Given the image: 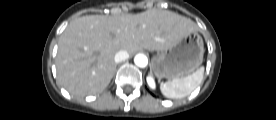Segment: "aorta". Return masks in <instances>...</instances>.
I'll use <instances>...</instances> for the list:
<instances>
[{
	"instance_id": "obj_1",
	"label": "aorta",
	"mask_w": 276,
	"mask_h": 120,
	"mask_svg": "<svg viewBox=\"0 0 276 120\" xmlns=\"http://www.w3.org/2000/svg\"><path fill=\"white\" fill-rule=\"evenodd\" d=\"M134 63L140 68H145L148 64V58L146 55L139 53L135 56Z\"/></svg>"
}]
</instances>
